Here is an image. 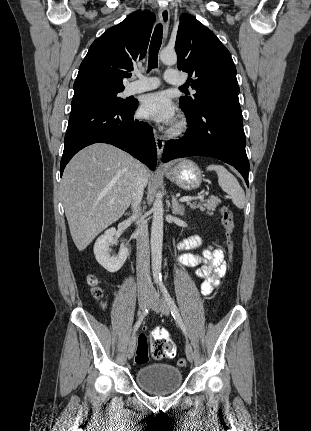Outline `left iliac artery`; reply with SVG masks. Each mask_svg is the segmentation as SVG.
<instances>
[{
    "mask_svg": "<svg viewBox=\"0 0 311 431\" xmlns=\"http://www.w3.org/2000/svg\"><path fill=\"white\" fill-rule=\"evenodd\" d=\"M160 288L161 291L164 295L165 301L167 302L170 310H171V314L173 316V318L175 319V321L178 323V325L180 326L181 330L183 331L184 335L187 337V331H186V327L183 323V320L180 316L179 310L174 302V300L172 299V297L170 296L169 292L167 291L166 287L164 286L163 283H160Z\"/></svg>",
    "mask_w": 311,
    "mask_h": 431,
    "instance_id": "1",
    "label": "left iliac artery"
}]
</instances>
